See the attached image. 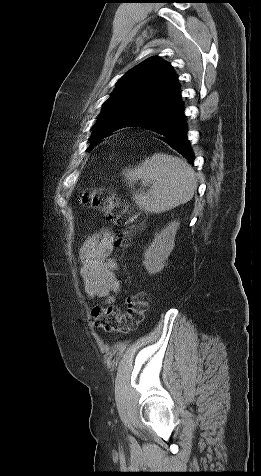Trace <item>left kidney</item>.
Wrapping results in <instances>:
<instances>
[{"label":"left kidney","instance_id":"left-kidney-1","mask_svg":"<svg viewBox=\"0 0 261 476\" xmlns=\"http://www.w3.org/2000/svg\"><path fill=\"white\" fill-rule=\"evenodd\" d=\"M178 227V221L169 223L155 236L153 242L148 246V249H146L143 265L150 274H156L164 268L174 248V240Z\"/></svg>","mask_w":261,"mask_h":476}]
</instances>
